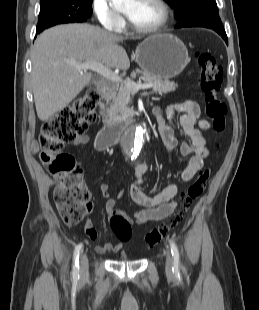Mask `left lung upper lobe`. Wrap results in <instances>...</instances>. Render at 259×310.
<instances>
[{
    "label": "left lung upper lobe",
    "mask_w": 259,
    "mask_h": 310,
    "mask_svg": "<svg viewBox=\"0 0 259 310\" xmlns=\"http://www.w3.org/2000/svg\"><path fill=\"white\" fill-rule=\"evenodd\" d=\"M175 11L176 27L196 25L224 29L215 0H165Z\"/></svg>",
    "instance_id": "left-lung-upper-lobe-1"
}]
</instances>
